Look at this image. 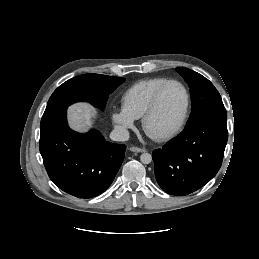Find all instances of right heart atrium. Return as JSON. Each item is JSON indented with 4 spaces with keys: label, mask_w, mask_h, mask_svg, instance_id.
Masks as SVG:
<instances>
[{
    "label": "right heart atrium",
    "mask_w": 259,
    "mask_h": 259,
    "mask_svg": "<svg viewBox=\"0 0 259 259\" xmlns=\"http://www.w3.org/2000/svg\"><path fill=\"white\" fill-rule=\"evenodd\" d=\"M111 120L115 128L122 134L135 128L136 119L129 115L122 107H114L111 112Z\"/></svg>",
    "instance_id": "right-heart-atrium-1"
}]
</instances>
